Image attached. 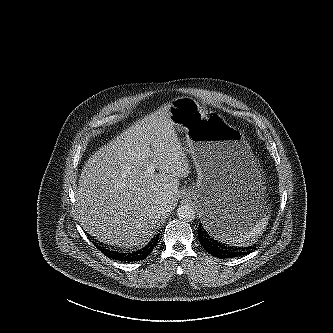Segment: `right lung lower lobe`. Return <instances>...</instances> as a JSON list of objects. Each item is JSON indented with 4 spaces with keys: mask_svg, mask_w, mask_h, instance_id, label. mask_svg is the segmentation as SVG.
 Segmentation results:
<instances>
[{
    "mask_svg": "<svg viewBox=\"0 0 333 333\" xmlns=\"http://www.w3.org/2000/svg\"><path fill=\"white\" fill-rule=\"evenodd\" d=\"M158 243V235H156L150 243L146 247H144L142 250H140L138 253L135 254H120V253H115L113 251H110L108 249H105L103 247H100V251L105 254L109 258H113L115 260L119 261H140L144 258H146L153 250V248L157 245ZM98 247V245H97Z\"/></svg>",
    "mask_w": 333,
    "mask_h": 333,
    "instance_id": "98d812e1",
    "label": "right lung lower lobe"
}]
</instances>
